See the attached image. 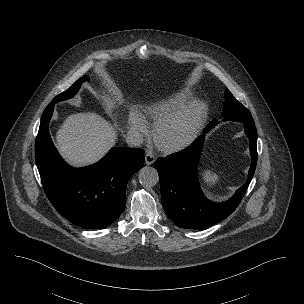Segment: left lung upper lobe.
Masks as SVG:
<instances>
[{
    "label": "left lung upper lobe",
    "instance_id": "obj_1",
    "mask_svg": "<svg viewBox=\"0 0 304 304\" xmlns=\"http://www.w3.org/2000/svg\"><path fill=\"white\" fill-rule=\"evenodd\" d=\"M222 116L224 120L254 123L249 110L236 100L228 89L225 90V105ZM211 123L217 124L218 121L213 120Z\"/></svg>",
    "mask_w": 304,
    "mask_h": 304
}]
</instances>
